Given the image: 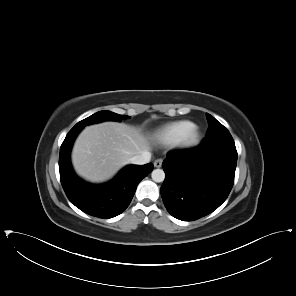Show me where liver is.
<instances>
[{
    "mask_svg": "<svg viewBox=\"0 0 296 296\" xmlns=\"http://www.w3.org/2000/svg\"><path fill=\"white\" fill-rule=\"evenodd\" d=\"M151 138L140 129L119 122L87 126L75 141L72 163L90 182L111 179L130 159L150 149Z\"/></svg>",
    "mask_w": 296,
    "mask_h": 296,
    "instance_id": "1",
    "label": "liver"
}]
</instances>
